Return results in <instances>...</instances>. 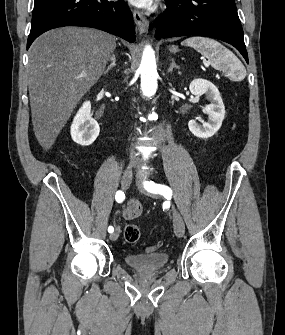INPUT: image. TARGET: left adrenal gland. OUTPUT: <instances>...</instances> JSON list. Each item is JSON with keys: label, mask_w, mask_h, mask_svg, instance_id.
I'll list each match as a JSON object with an SVG mask.
<instances>
[{"label": "left adrenal gland", "mask_w": 285, "mask_h": 335, "mask_svg": "<svg viewBox=\"0 0 285 335\" xmlns=\"http://www.w3.org/2000/svg\"><path fill=\"white\" fill-rule=\"evenodd\" d=\"M174 68H176V70H179V66H176V64H175V62H174V60L172 58V60H171V66H170L168 72H172V70H174Z\"/></svg>", "instance_id": "a2214340"}]
</instances>
